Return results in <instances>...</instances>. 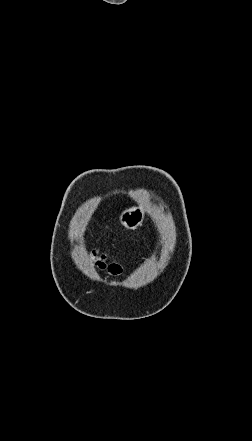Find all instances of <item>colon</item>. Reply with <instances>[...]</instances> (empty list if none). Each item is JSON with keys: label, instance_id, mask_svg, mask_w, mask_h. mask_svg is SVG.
Wrapping results in <instances>:
<instances>
[{"label": "colon", "instance_id": "colon-1", "mask_svg": "<svg viewBox=\"0 0 252 441\" xmlns=\"http://www.w3.org/2000/svg\"><path fill=\"white\" fill-rule=\"evenodd\" d=\"M93 258L95 265L101 270H108L109 272L116 274L120 273L121 266L116 262H108L105 254L93 251Z\"/></svg>", "mask_w": 252, "mask_h": 441}]
</instances>
